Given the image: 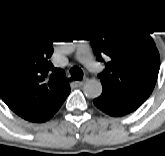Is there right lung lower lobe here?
Returning <instances> with one entry per match:
<instances>
[{
  "label": "right lung lower lobe",
  "instance_id": "right-lung-lower-lobe-1",
  "mask_svg": "<svg viewBox=\"0 0 165 156\" xmlns=\"http://www.w3.org/2000/svg\"><path fill=\"white\" fill-rule=\"evenodd\" d=\"M60 108V107H59ZM58 108V109H59ZM57 111V110H56ZM56 111L53 113V114H51L50 116H48V117H46L45 119H43L42 121H40L39 123H41V122H45V121H47V120H49L55 113H56Z\"/></svg>",
  "mask_w": 165,
  "mask_h": 156
}]
</instances>
